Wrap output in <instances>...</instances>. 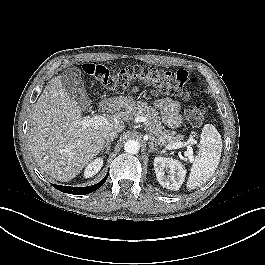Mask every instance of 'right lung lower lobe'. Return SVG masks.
<instances>
[{"mask_svg":"<svg viewBox=\"0 0 265 265\" xmlns=\"http://www.w3.org/2000/svg\"><path fill=\"white\" fill-rule=\"evenodd\" d=\"M107 177H108V174L99 183L92 185V186H87V187H70V186H62V185H54V187L57 190L64 192V193L83 195V194L91 193L97 190L98 188H100L105 183Z\"/></svg>","mask_w":265,"mask_h":265,"instance_id":"right-lung-lower-lobe-1","label":"right lung lower lobe"}]
</instances>
